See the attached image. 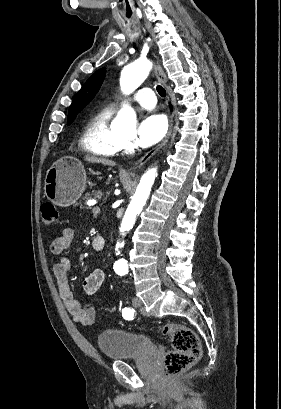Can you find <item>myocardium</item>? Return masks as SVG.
Listing matches in <instances>:
<instances>
[{"instance_id": "f54148a6", "label": "myocardium", "mask_w": 281, "mask_h": 409, "mask_svg": "<svg viewBox=\"0 0 281 409\" xmlns=\"http://www.w3.org/2000/svg\"><path fill=\"white\" fill-rule=\"evenodd\" d=\"M114 138L118 151L130 149L131 143L128 140L124 139L122 136H120L116 131H114Z\"/></svg>"}]
</instances>
